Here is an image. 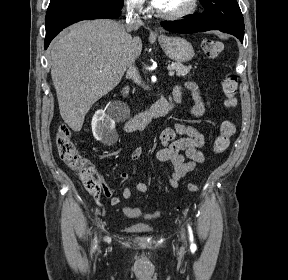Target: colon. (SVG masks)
Returning a JSON list of instances; mask_svg holds the SVG:
<instances>
[{
  "instance_id": "colon-1",
  "label": "colon",
  "mask_w": 288,
  "mask_h": 280,
  "mask_svg": "<svg viewBox=\"0 0 288 280\" xmlns=\"http://www.w3.org/2000/svg\"><path fill=\"white\" fill-rule=\"evenodd\" d=\"M202 51L210 59L217 58L223 51L222 42L214 39H206L202 42ZM225 99V106L233 108L237 104L236 94L238 89V79L235 75H228L222 82ZM235 132V126L231 121H223L220 126V134L216 137L213 145L214 153L224 152L230 143V138ZM56 145L59 157L70 168L80 175L85 189L93 196L99 195L103 190V185L98 176L95 166L84 158L72 140L71 131L67 125H61L56 136ZM188 189L192 193L199 191L196 183H189ZM123 213L130 218L152 219L159 215V212L146 213L139 208L124 207Z\"/></svg>"
}]
</instances>
